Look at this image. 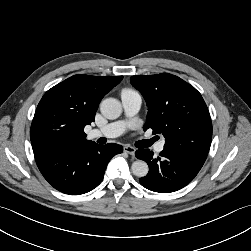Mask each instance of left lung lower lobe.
Instances as JSON below:
<instances>
[{
  "label": "left lung lower lobe",
  "mask_w": 251,
  "mask_h": 251,
  "mask_svg": "<svg viewBox=\"0 0 251 251\" xmlns=\"http://www.w3.org/2000/svg\"><path fill=\"white\" fill-rule=\"evenodd\" d=\"M207 154L195 147L164 146L159 157H154L149 149L137 150L136 157L149 165V173L139 181L145 188L159 193L180 190L195 178Z\"/></svg>",
  "instance_id": "0a47b994"
}]
</instances>
